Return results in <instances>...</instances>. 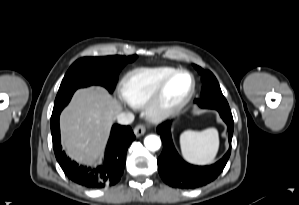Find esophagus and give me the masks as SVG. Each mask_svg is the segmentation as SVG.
Returning a JSON list of instances; mask_svg holds the SVG:
<instances>
[{
    "instance_id": "34e87169",
    "label": "esophagus",
    "mask_w": 299,
    "mask_h": 205,
    "mask_svg": "<svg viewBox=\"0 0 299 205\" xmlns=\"http://www.w3.org/2000/svg\"><path fill=\"white\" fill-rule=\"evenodd\" d=\"M146 132V126L139 124L134 128V134L136 137L142 136Z\"/></svg>"
}]
</instances>
